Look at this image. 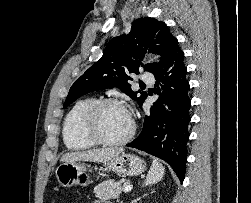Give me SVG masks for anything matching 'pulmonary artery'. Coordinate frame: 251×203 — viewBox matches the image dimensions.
Listing matches in <instances>:
<instances>
[{"instance_id":"pulmonary-artery-1","label":"pulmonary artery","mask_w":251,"mask_h":203,"mask_svg":"<svg viewBox=\"0 0 251 203\" xmlns=\"http://www.w3.org/2000/svg\"><path fill=\"white\" fill-rule=\"evenodd\" d=\"M141 81L143 83L152 84V83H154L155 78L152 73H144L141 75Z\"/></svg>"}]
</instances>
